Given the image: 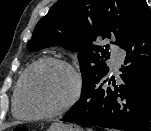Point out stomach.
<instances>
[{"label":"stomach","mask_w":151,"mask_h":131,"mask_svg":"<svg viewBox=\"0 0 151 131\" xmlns=\"http://www.w3.org/2000/svg\"><path fill=\"white\" fill-rule=\"evenodd\" d=\"M48 131H83L79 126L72 124L53 123Z\"/></svg>","instance_id":"1"}]
</instances>
